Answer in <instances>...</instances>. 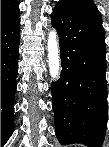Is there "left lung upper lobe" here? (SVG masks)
<instances>
[{
  "label": "left lung upper lobe",
  "mask_w": 109,
  "mask_h": 147,
  "mask_svg": "<svg viewBox=\"0 0 109 147\" xmlns=\"http://www.w3.org/2000/svg\"><path fill=\"white\" fill-rule=\"evenodd\" d=\"M57 4H62L77 13L88 17L90 20L102 25V17L92 0H60ZM69 88L79 87L80 78L77 74L71 73L66 79Z\"/></svg>",
  "instance_id": "left-lung-upper-lobe-1"
}]
</instances>
